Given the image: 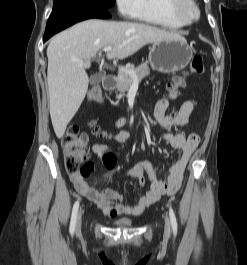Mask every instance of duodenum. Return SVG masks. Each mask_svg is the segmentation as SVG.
<instances>
[{"mask_svg": "<svg viewBox=\"0 0 247 265\" xmlns=\"http://www.w3.org/2000/svg\"><path fill=\"white\" fill-rule=\"evenodd\" d=\"M116 85V77L114 75H106L103 80V86L106 90H111Z\"/></svg>", "mask_w": 247, "mask_h": 265, "instance_id": "obj_1", "label": "duodenum"}]
</instances>
